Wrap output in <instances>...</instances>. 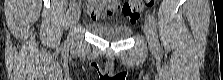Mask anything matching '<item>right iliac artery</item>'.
Returning a JSON list of instances; mask_svg holds the SVG:
<instances>
[{"mask_svg": "<svg viewBox=\"0 0 223 80\" xmlns=\"http://www.w3.org/2000/svg\"><path fill=\"white\" fill-rule=\"evenodd\" d=\"M75 7H77V4L75 2L71 3V9H74Z\"/></svg>", "mask_w": 223, "mask_h": 80, "instance_id": "1", "label": "right iliac artery"}]
</instances>
